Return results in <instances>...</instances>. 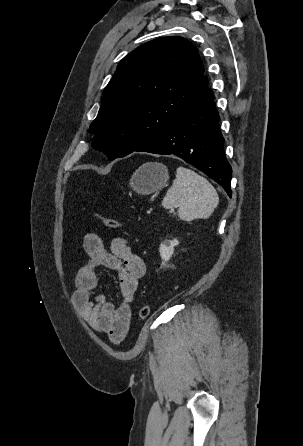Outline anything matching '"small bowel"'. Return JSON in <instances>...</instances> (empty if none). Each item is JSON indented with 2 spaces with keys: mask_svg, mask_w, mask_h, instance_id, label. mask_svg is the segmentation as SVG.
I'll list each match as a JSON object with an SVG mask.
<instances>
[{
  "mask_svg": "<svg viewBox=\"0 0 303 446\" xmlns=\"http://www.w3.org/2000/svg\"><path fill=\"white\" fill-rule=\"evenodd\" d=\"M82 248L88 260L79 268L75 277L72 301L88 325L99 333L106 334L115 343H121L129 330L131 307L139 281L145 275L144 261L133 253L130 244L123 238L111 241L106 249L101 237L87 233ZM100 267L118 273L120 303L108 301L103 294H96L97 270Z\"/></svg>",
  "mask_w": 303,
  "mask_h": 446,
  "instance_id": "obj_1",
  "label": "small bowel"
}]
</instances>
